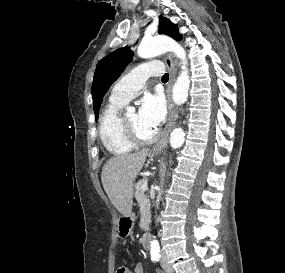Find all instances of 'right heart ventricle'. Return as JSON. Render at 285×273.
Returning a JSON list of instances; mask_svg holds the SVG:
<instances>
[{
    "label": "right heart ventricle",
    "instance_id": "1",
    "mask_svg": "<svg viewBox=\"0 0 285 273\" xmlns=\"http://www.w3.org/2000/svg\"><path fill=\"white\" fill-rule=\"evenodd\" d=\"M123 102H109L103 109L99 119V137L108 152L114 155L130 153L135 145L124 136L121 128L119 110Z\"/></svg>",
    "mask_w": 285,
    "mask_h": 273
}]
</instances>
